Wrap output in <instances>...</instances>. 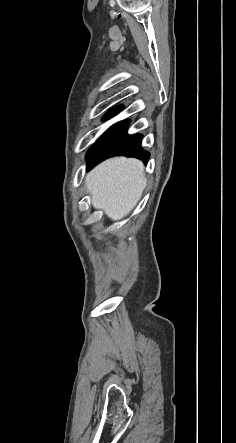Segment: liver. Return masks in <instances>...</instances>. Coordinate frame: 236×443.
Segmentation results:
<instances>
[{
    "label": "liver",
    "mask_w": 236,
    "mask_h": 443,
    "mask_svg": "<svg viewBox=\"0 0 236 443\" xmlns=\"http://www.w3.org/2000/svg\"><path fill=\"white\" fill-rule=\"evenodd\" d=\"M144 165L134 158L116 157L96 166L85 178L92 205L113 221L126 217L146 187Z\"/></svg>",
    "instance_id": "6515ba94"
}]
</instances>
